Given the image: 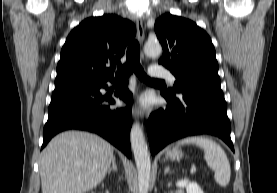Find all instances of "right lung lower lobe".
<instances>
[{
  "instance_id": "1",
  "label": "right lung lower lobe",
  "mask_w": 277,
  "mask_h": 193,
  "mask_svg": "<svg viewBox=\"0 0 277 193\" xmlns=\"http://www.w3.org/2000/svg\"><path fill=\"white\" fill-rule=\"evenodd\" d=\"M106 83L55 89L48 109V121L43 130L42 148L59 132L69 129L86 130L102 136L127 157L131 156L132 93L125 83L115 95L126 102V108L111 109L99 93ZM108 103L113 104L114 100Z\"/></svg>"
}]
</instances>
